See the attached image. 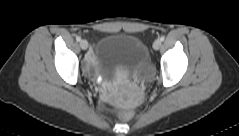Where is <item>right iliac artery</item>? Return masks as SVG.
Wrapping results in <instances>:
<instances>
[{
  "instance_id": "right-iliac-artery-1",
  "label": "right iliac artery",
  "mask_w": 239,
  "mask_h": 136,
  "mask_svg": "<svg viewBox=\"0 0 239 136\" xmlns=\"http://www.w3.org/2000/svg\"><path fill=\"white\" fill-rule=\"evenodd\" d=\"M76 40L79 42V41H81V38L79 36H77Z\"/></svg>"
}]
</instances>
